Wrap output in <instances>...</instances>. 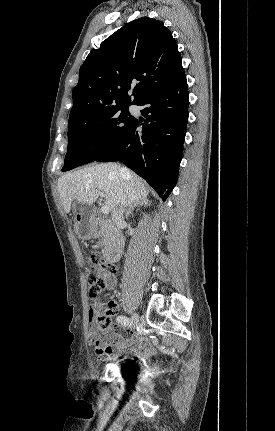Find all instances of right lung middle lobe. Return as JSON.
I'll return each mask as SVG.
<instances>
[{"instance_id": "right-lung-middle-lobe-1", "label": "right lung middle lobe", "mask_w": 275, "mask_h": 431, "mask_svg": "<svg viewBox=\"0 0 275 431\" xmlns=\"http://www.w3.org/2000/svg\"><path fill=\"white\" fill-rule=\"evenodd\" d=\"M129 105L102 109L68 124V150L62 171L96 161L133 122Z\"/></svg>"}]
</instances>
